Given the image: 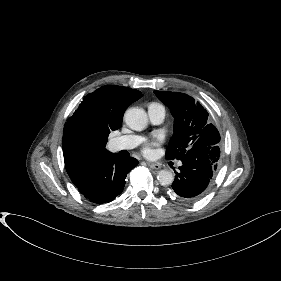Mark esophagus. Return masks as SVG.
I'll return each instance as SVG.
<instances>
[{
  "mask_svg": "<svg viewBox=\"0 0 281 281\" xmlns=\"http://www.w3.org/2000/svg\"><path fill=\"white\" fill-rule=\"evenodd\" d=\"M146 164L152 169L159 170L161 168V166L159 164H156V163L146 162Z\"/></svg>",
  "mask_w": 281,
  "mask_h": 281,
  "instance_id": "obj_1",
  "label": "esophagus"
}]
</instances>
